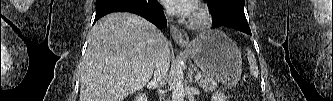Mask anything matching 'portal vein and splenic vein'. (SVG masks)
<instances>
[{"instance_id": "1", "label": "portal vein and splenic vein", "mask_w": 333, "mask_h": 101, "mask_svg": "<svg viewBox=\"0 0 333 101\" xmlns=\"http://www.w3.org/2000/svg\"><path fill=\"white\" fill-rule=\"evenodd\" d=\"M200 78H201V74H198V75L196 76V80H197V82H199Z\"/></svg>"}]
</instances>
